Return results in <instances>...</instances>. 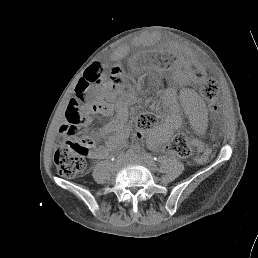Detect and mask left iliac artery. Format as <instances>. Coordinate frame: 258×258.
I'll use <instances>...</instances> for the list:
<instances>
[{
  "instance_id": "left-iliac-artery-1",
  "label": "left iliac artery",
  "mask_w": 258,
  "mask_h": 258,
  "mask_svg": "<svg viewBox=\"0 0 258 258\" xmlns=\"http://www.w3.org/2000/svg\"><path fill=\"white\" fill-rule=\"evenodd\" d=\"M144 156H145L144 159L146 160V162H150V157H149V156H146L145 154H144ZM159 159H160V158H158V159L155 158L154 160H155V161H159Z\"/></svg>"
}]
</instances>
